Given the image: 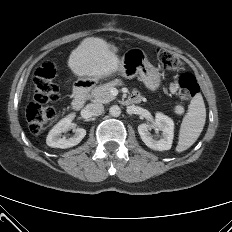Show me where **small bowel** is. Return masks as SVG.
I'll return each mask as SVG.
<instances>
[{
    "label": "small bowel",
    "mask_w": 232,
    "mask_h": 232,
    "mask_svg": "<svg viewBox=\"0 0 232 232\" xmlns=\"http://www.w3.org/2000/svg\"><path fill=\"white\" fill-rule=\"evenodd\" d=\"M171 91L172 92H176L177 91V89H178V84L176 83V82H173L172 84H171ZM133 100H136V99H141V96L139 95V93H137V92H135L133 95H132V97H131Z\"/></svg>",
    "instance_id": "obj_1"
}]
</instances>
